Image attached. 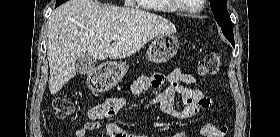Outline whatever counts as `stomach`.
Here are the masks:
<instances>
[{"label":"stomach","mask_w":280,"mask_h":137,"mask_svg":"<svg viewBox=\"0 0 280 137\" xmlns=\"http://www.w3.org/2000/svg\"><path fill=\"white\" fill-rule=\"evenodd\" d=\"M179 41L176 36L166 33L155 37L147 51V59L153 63L169 61L178 51ZM128 65L125 62H111L103 65L100 79L89 83L92 91L101 92L117 85L125 76Z\"/></svg>","instance_id":"stomach-1"}]
</instances>
